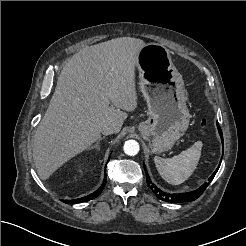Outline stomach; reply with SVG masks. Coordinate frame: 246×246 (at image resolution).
<instances>
[{
    "mask_svg": "<svg viewBox=\"0 0 246 246\" xmlns=\"http://www.w3.org/2000/svg\"><path fill=\"white\" fill-rule=\"evenodd\" d=\"M136 67L148 106V119L139 124L138 130L151 153L159 154L170 150L188 128L184 81L172 63L170 51L161 44H145Z\"/></svg>",
    "mask_w": 246,
    "mask_h": 246,
    "instance_id": "obj_1",
    "label": "stomach"
}]
</instances>
